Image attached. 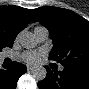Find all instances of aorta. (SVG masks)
I'll return each mask as SVG.
<instances>
[{
  "label": "aorta",
  "instance_id": "obj_1",
  "mask_svg": "<svg viewBox=\"0 0 89 89\" xmlns=\"http://www.w3.org/2000/svg\"><path fill=\"white\" fill-rule=\"evenodd\" d=\"M19 42L22 45V47L26 49H32L35 48L38 41L35 37V35L32 32H21L19 35ZM47 71L43 66L37 67L33 72L32 76L35 80L41 81L46 77Z\"/></svg>",
  "mask_w": 89,
  "mask_h": 89
}]
</instances>
